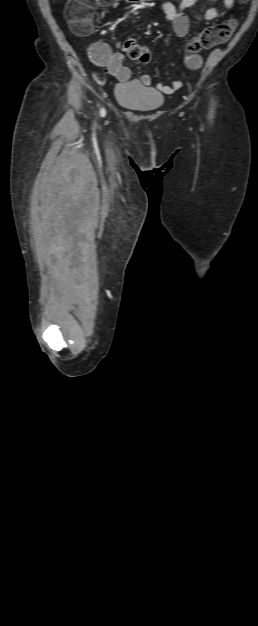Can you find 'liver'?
I'll return each mask as SVG.
<instances>
[{"mask_svg":"<svg viewBox=\"0 0 258 626\" xmlns=\"http://www.w3.org/2000/svg\"><path fill=\"white\" fill-rule=\"evenodd\" d=\"M46 218H47V212H46V211H44V212H43V219H44V220H46Z\"/></svg>","mask_w":258,"mask_h":626,"instance_id":"1","label":"liver"}]
</instances>
